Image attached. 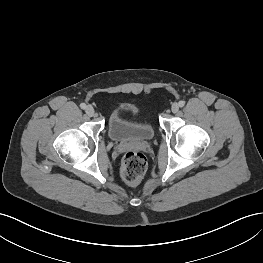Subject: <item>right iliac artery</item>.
Here are the masks:
<instances>
[{
    "instance_id": "82829eb1",
    "label": "right iliac artery",
    "mask_w": 263,
    "mask_h": 263,
    "mask_svg": "<svg viewBox=\"0 0 263 263\" xmlns=\"http://www.w3.org/2000/svg\"><path fill=\"white\" fill-rule=\"evenodd\" d=\"M80 107H81V109H86V104L85 103H81Z\"/></svg>"
}]
</instances>
